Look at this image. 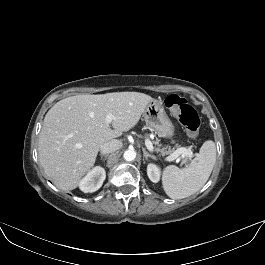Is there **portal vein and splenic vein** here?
Masks as SVG:
<instances>
[{
	"label": "portal vein and splenic vein",
	"mask_w": 265,
	"mask_h": 265,
	"mask_svg": "<svg viewBox=\"0 0 265 265\" xmlns=\"http://www.w3.org/2000/svg\"><path fill=\"white\" fill-rule=\"evenodd\" d=\"M114 119L113 115L112 114H108L106 116V123L107 124H110L112 122V120ZM145 145L147 147V149L149 151H153V144L152 142L149 140V139H146L145 140ZM181 155L182 158H185V157H192V152H190L189 150H187L186 148H180L179 150H177L175 153H173L172 155L168 156L166 158L167 161H173L175 159L178 158V156ZM184 163V161L181 163V165Z\"/></svg>",
	"instance_id": "obj_1"
}]
</instances>
